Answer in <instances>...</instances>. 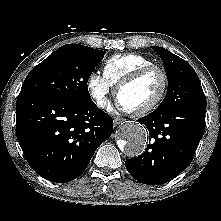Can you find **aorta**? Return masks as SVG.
Instances as JSON below:
<instances>
[{
    "instance_id": "1",
    "label": "aorta",
    "mask_w": 221,
    "mask_h": 221,
    "mask_svg": "<svg viewBox=\"0 0 221 221\" xmlns=\"http://www.w3.org/2000/svg\"><path fill=\"white\" fill-rule=\"evenodd\" d=\"M124 140L119 142V147L129 157L139 156L145 149L148 139L146 129L141 125L129 122L122 128Z\"/></svg>"
}]
</instances>
